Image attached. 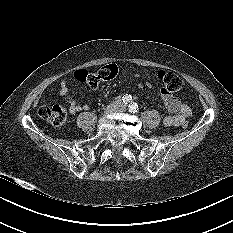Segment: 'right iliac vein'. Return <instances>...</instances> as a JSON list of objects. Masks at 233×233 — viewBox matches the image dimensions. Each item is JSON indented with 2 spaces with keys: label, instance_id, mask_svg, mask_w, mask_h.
<instances>
[{
  "label": "right iliac vein",
  "instance_id": "obj_1",
  "mask_svg": "<svg viewBox=\"0 0 233 233\" xmlns=\"http://www.w3.org/2000/svg\"><path fill=\"white\" fill-rule=\"evenodd\" d=\"M117 108H118L117 104H111L106 108L105 114H111V113L115 112L117 110Z\"/></svg>",
  "mask_w": 233,
  "mask_h": 233
}]
</instances>
